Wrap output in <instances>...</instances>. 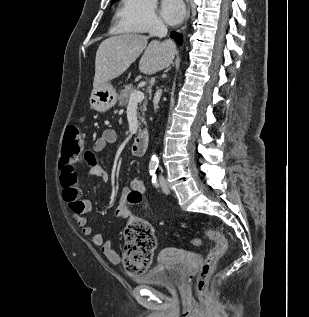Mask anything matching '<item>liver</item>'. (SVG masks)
<instances>
[{
  "mask_svg": "<svg viewBox=\"0 0 309 317\" xmlns=\"http://www.w3.org/2000/svg\"><path fill=\"white\" fill-rule=\"evenodd\" d=\"M148 39L145 35L131 33L105 39L96 53L93 88L119 77L141 53L140 72L152 75L169 67L175 57V44L170 40H154L148 44Z\"/></svg>",
  "mask_w": 309,
  "mask_h": 317,
  "instance_id": "6515ba94",
  "label": "liver"
}]
</instances>
